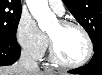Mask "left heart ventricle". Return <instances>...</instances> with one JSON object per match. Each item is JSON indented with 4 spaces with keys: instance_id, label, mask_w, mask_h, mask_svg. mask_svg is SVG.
I'll return each mask as SVG.
<instances>
[{
    "instance_id": "b2bd125f",
    "label": "left heart ventricle",
    "mask_w": 102,
    "mask_h": 75,
    "mask_svg": "<svg viewBox=\"0 0 102 75\" xmlns=\"http://www.w3.org/2000/svg\"><path fill=\"white\" fill-rule=\"evenodd\" d=\"M52 37L60 57L67 62H77L84 58L87 52V43L83 33L75 28H61L59 23L54 24L48 31Z\"/></svg>"
}]
</instances>
